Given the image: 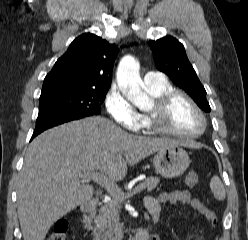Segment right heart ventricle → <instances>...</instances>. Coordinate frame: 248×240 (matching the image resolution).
Instances as JSON below:
<instances>
[{"label": "right heart ventricle", "mask_w": 248, "mask_h": 240, "mask_svg": "<svg viewBox=\"0 0 248 240\" xmlns=\"http://www.w3.org/2000/svg\"><path fill=\"white\" fill-rule=\"evenodd\" d=\"M144 88L152 98H157L161 94L173 90V86L168 80H164L163 82L160 83L145 84ZM142 119H143V126H145L147 124L146 120L143 116Z\"/></svg>", "instance_id": "1"}]
</instances>
